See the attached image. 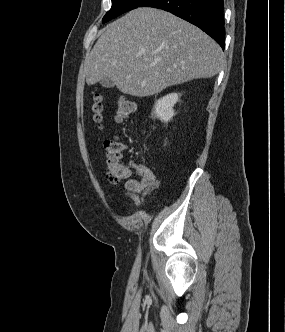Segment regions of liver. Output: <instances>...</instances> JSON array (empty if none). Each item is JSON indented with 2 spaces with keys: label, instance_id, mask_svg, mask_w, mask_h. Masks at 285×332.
I'll list each match as a JSON object with an SVG mask.
<instances>
[{
  "label": "liver",
  "instance_id": "obj_1",
  "mask_svg": "<svg viewBox=\"0 0 285 332\" xmlns=\"http://www.w3.org/2000/svg\"><path fill=\"white\" fill-rule=\"evenodd\" d=\"M223 65L220 46L191 23L163 10L137 8L110 23L86 55V83L110 78L124 94L146 97Z\"/></svg>",
  "mask_w": 285,
  "mask_h": 332
}]
</instances>
